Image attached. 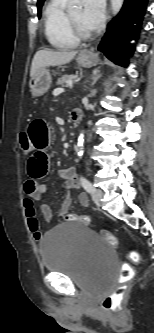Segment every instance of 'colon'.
I'll use <instances>...</instances> for the list:
<instances>
[{
  "mask_svg": "<svg viewBox=\"0 0 154 333\" xmlns=\"http://www.w3.org/2000/svg\"><path fill=\"white\" fill-rule=\"evenodd\" d=\"M19 144L21 151L24 154H28L31 150V143L29 140V136L27 133H22L19 137ZM66 221H78L84 224L90 223V218L88 216H81V215H75V214H69L65 216ZM101 236L106 239L111 245H116L117 240L115 236L109 232L106 229L101 230ZM131 259L134 263H138L139 257L136 253H133L131 255ZM134 274L133 268L125 264L121 268L120 272V278L122 282H127L132 279ZM123 292H124V286L119 287L115 292H113L110 295H107L104 297L101 301V307L106 311H113L117 312L122 307V299H123Z\"/></svg>",
  "mask_w": 154,
  "mask_h": 333,
  "instance_id": "obj_1",
  "label": "colon"
}]
</instances>
